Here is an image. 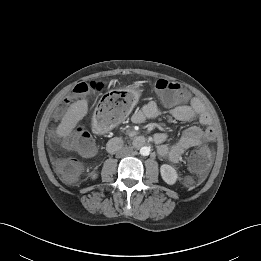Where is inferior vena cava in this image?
<instances>
[{
	"mask_svg": "<svg viewBox=\"0 0 261 261\" xmlns=\"http://www.w3.org/2000/svg\"><path fill=\"white\" fill-rule=\"evenodd\" d=\"M133 152V147H123V148H121L119 151H118V153H117V155L119 156V157H121V156H127V155H130L131 153Z\"/></svg>",
	"mask_w": 261,
	"mask_h": 261,
	"instance_id": "1",
	"label": "inferior vena cava"
}]
</instances>
